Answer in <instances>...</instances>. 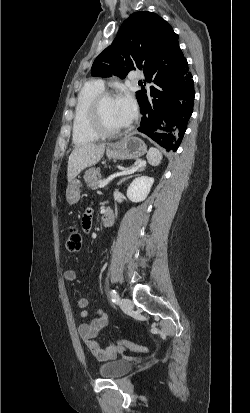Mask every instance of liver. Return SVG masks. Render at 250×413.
<instances>
[{
    "label": "liver",
    "instance_id": "obj_1",
    "mask_svg": "<svg viewBox=\"0 0 250 413\" xmlns=\"http://www.w3.org/2000/svg\"><path fill=\"white\" fill-rule=\"evenodd\" d=\"M106 144H83L75 147L68 159V182L75 179L86 167L95 165L104 155Z\"/></svg>",
    "mask_w": 250,
    "mask_h": 413
}]
</instances>
